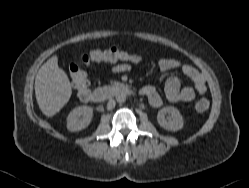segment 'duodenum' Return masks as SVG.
Instances as JSON below:
<instances>
[{
	"label": "duodenum",
	"mask_w": 249,
	"mask_h": 188,
	"mask_svg": "<svg viewBox=\"0 0 249 188\" xmlns=\"http://www.w3.org/2000/svg\"><path fill=\"white\" fill-rule=\"evenodd\" d=\"M132 89L125 84L108 85L94 89L89 92L88 100L94 103H100L117 95H130Z\"/></svg>",
	"instance_id": "duodenum-1"
}]
</instances>
